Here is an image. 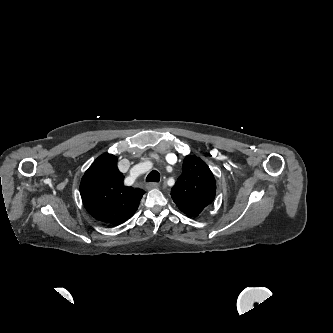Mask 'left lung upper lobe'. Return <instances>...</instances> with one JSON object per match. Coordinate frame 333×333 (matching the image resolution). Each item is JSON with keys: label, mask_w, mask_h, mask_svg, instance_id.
<instances>
[{"label": "left lung upper lobe", "mask_w": 333, "mask_h": 333, "mask_svg": "<svg viewBox=\"0 0 333 333\" xmlns=\"http://www.w3.org/2000/svg\"><path fill=\"white\" fill-rule=\"evenodd\" d=\"M182 171L171 197L187 216L197 217L215 198V179L207 164L193 155L185 157Z\"/></svg>", "instance_id": "obj_1"}]
</instances>
